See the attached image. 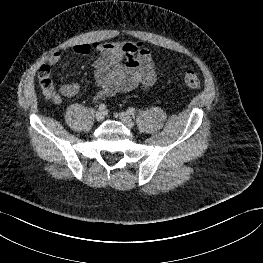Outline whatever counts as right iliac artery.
Masks as SVG:
<instances>
[{
    "label": "right iliac artery",
    "mask_w": 263,
    "mask_h": 263,
    "mask_svg": "<svg viewBox=\"0 0 263 263\" xmlns=\"http://www.w3.org/2000/svg\"><path fill=\"white\" fill-rule=\"evenodd\" d=\"M106 109V106H105V104H100L99 105V110H105Z\"/></svg>",
    "instance_id": "obj_1"
}]
</instances>
